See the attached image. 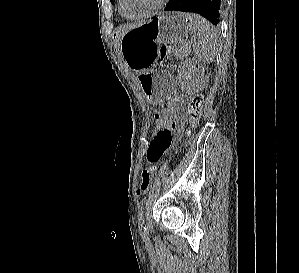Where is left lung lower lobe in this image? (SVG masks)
I'll list each match as a JSON object with an SVG mask.
<instances>
[{
	"label": "left lung lower lobe",
	"mask_w": 299,
	"mask_h": 273,
	"mask_svg": "<svg viewBox=\"0 0 299 273\" xmlns=\"http://www.w3.org/2000/svg\"><path fill=\"white\" fill-rule=\"evenodd\" d=\"M221 0H170L165 11L195 12L213 25H217L220 17Z\"/></svg>",
	"instance_id": "0a47b994"
}]
</instances>
